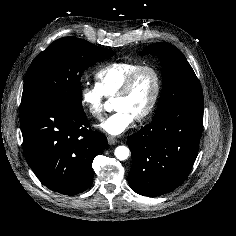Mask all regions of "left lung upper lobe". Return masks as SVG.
<instances>
[{"instance_id":"5c2ea615","label":"left lung upper lobe","mask_w":236,"mask_h":236,"mask_svg":"<svg viewBox=\"0 0 236 236\" xmlns=\"http://www.w3.org/2000/svg\"><path fill=\"white\" fill-rule=\"evenodd\" d=\"M155 54L162 65L163 86L154 118L182 104H203L201 84L184 55L170 43L147 46L140 55ZM153 118V119H154Z\"/></svg>"}]
</instances>
